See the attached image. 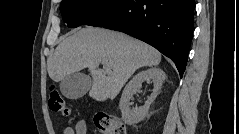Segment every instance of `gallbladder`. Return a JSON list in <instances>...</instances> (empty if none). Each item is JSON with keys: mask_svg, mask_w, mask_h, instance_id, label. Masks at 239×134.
<instances>
[{"mask_svg": "<svg viewBox=\"0 0 239 134\" xmlns=\"http://www.w3.org/2000/svg\"><path fill=\"white\" fill-rule=\"evenodd\" d=\"M91 84L92 82L88 75L75 72L60 82V90L66 98L78 99L89 91Z\"/></svg>", "mask_w": 239, "mask_h": 134, "instance_id": "obj_1", "label": "gallbladder"}]
</instances>
